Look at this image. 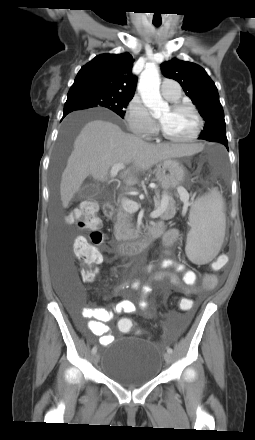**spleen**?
Wrapping results in <instances>:
<instances>
[{"label": "spleen", "mask_w": 255, "mask_h": 440, "mask_svg": "<svg viewBox=\"0 0 255 440\" xmlns=\"http://www.w3.org/2000/svg\"><path fill=\"white\" fill-rule=\"evenodd\" d=\"M223 205L221 195L215 190L193 203L189 215L191 230L185 248L192 262L208 263L219 252L226 227Z\"/></svg>", "instance_id": "spleen-1"}]
</instances>
